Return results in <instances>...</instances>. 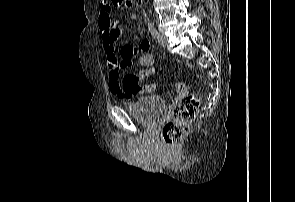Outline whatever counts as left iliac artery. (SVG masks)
Listing matches in <instances>:
<instances>
[{
  "instance_id": "obj_1",
  "label": "left iliac artery",
  "mask_w": 295,
  "mask_h": 202,
  "mask_svg": "<svg viewBox=\"0 0 295 202\" xmlns=\"http://www.w3.org/2000/svg\"><path fill=\"white\" fill-rule=\"evenodd\" d=\"M148 29H149V32L151 33V35L154 38H157L158 37V31L156 30V28L153 26L152 23H148Z\"/></svg>"
}]
</instances>
